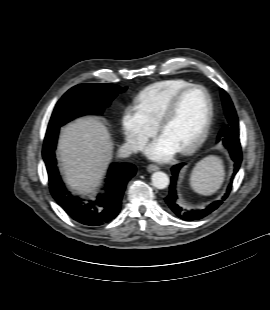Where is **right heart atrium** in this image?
I'll return each mask as SVG.
<instances>
[{
  "mask_svg": "<svg viewBox=\"0 0 270 310\" xmlns=\"http://www.w3.org/2000/svg\"><path fill=\"white\" fill-rule=\"evenodd\" d=\"M122 130L128 145L134 149L141 148L157 130L139 104H129L121 118Z\"/></svg>",
  "mask_w": 270,
  "mask_h": 310,
  "instance_id": "d8ad5b80",
  "label": "right heart atrium"
}]
</instances>
